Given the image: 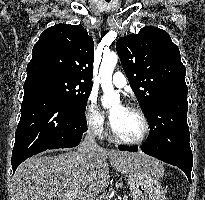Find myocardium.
Listing matches in <instances>:
<instances>
[{
    "mask_svg": "<svg viewBox=\"0 0 205 200\" xmlns=\"http://www.w3.org/2000/svg\"><path fill=\"white\" fill-rule=\"evenodd\" d=\"M124 108L131 110L139 115L143 123V131L139 138L134 140H129L121 137L113 128L112 123H110V132L112 138L117 141L118 143L125 144V145H140L142 144L149 136L150 133V123L145 114V112L137 105L134 104H126Z\"/></svg>",
    "mask_w": 205,
    "mask_h": 200,
    "instance_id": "1",
    "label": "myocardium"
}]
</instances>
